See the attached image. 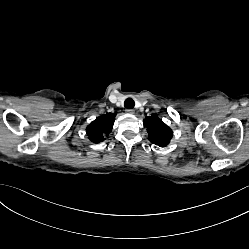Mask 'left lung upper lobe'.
<instances>
[{
	"label": "left lung upper lobe",
	"instance_id": "1",
	"mask_svg": "<svg viewBox=\"0 0 249 249\" xmlns=\"http://www.w3.org/2000/svg\"><path fill=\"white\" fill-rule=\"evenodd\" d=\"M144 127L147 128L148 138L150 142L158 146L164 147L169 144L173 132L169 126H167L157 116L152 115L146 117L143 120Z\"/></svg>",
	"mask_w": 249,
	"mask_h": 249
}]
</instances>
